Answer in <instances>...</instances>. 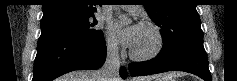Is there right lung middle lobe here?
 Returning <instances> with one entry per match:
<instances>
[{"mask_svg": "<svg viewBox=\"0 0 237 81\" xmlns=\"http://www.w3.org/2000/svg\"><path fill=\"white\" fill-rule=\"evenodd\" d=\"M88 16H55L41 20L42 33H58L73 37L94 40L103 38V32L94 28L96 20Z\"/></svg>", "mask_w": 237, "mask_h": 81, "instance_id": "right-lung-middle-lobe-1", "label": "right lung middle lobe"}]
</instances>
